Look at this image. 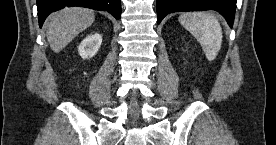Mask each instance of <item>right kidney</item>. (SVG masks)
<instances>
[{
	"label": "right kidney",
	"mask_w": 276,
	"mask_h": 145,
	"mask_svg": "<svg viewBox=\"0 0 276 145\" xmlns=\"http://www.w3.org/2000/svg\"><path fill=\"white\" fill-rule=\"evenodd\" d=\"M102 43V36L98 33L88 35L79 45L78 52L83 59L96 55Z\"/></svg>",
	"instance_id": "ca27d5eb"
}]
</instances>
